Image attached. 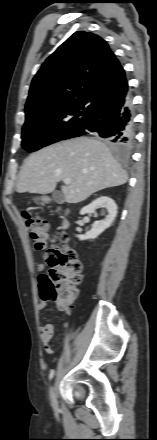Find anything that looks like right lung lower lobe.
I'll return each instance as SVG.
<instances>
[{
	"label": "right lung lower lobe",
	"mask_w": 157,
	"mask_h": 440,
	"mask_svg": "<svg viewBox=\"0 0 157 440\" xmlns=\"http://www.w3.org/2000/svg\"><path fill=\"white\" fill-rule=\"evenodd\" d=\"M97 132L101 137L122 147L130 148L134 142V126L131 100L128 96L115 106L95 114L84 125L82 135Z\"/></svg>",
	"instance_id": "98d812e1"
}]
</instances>
